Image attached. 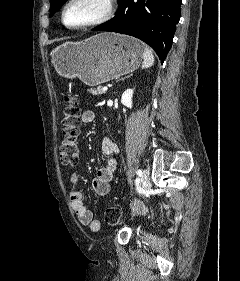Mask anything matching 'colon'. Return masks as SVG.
<instances>
[{
  "label": "colon",
  "instance_id": "colon-1",
  "mask_svg": "<svg viewBox=\"0 0 240 281\" xmlns=\"http://www.w3.org/2000/svg\"><path fill=\"white\" fill-rule=\"evenodd\" d=\"M63 139L59 149L62 164L74 166L79 160L77 137L80 126V109L75 95H64L63 109ZM121 220V211L117 207H109L105 212V221L110 225H117Z\"/></svg>",
  "mask_w": 240,
  "mask_h": 281
}]
</instances>
